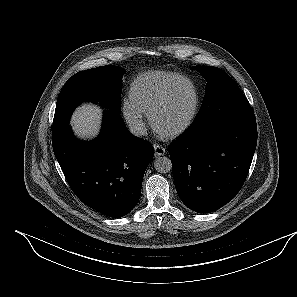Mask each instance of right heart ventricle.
<instances>
[{"label": "right heart ventricle", "instance_id": "obj_1", "mask_svg": "<svg viewBox=\"0 0 297 297\" xmlns=\"http://www.w3.org/2000/svg\"><path fill=\"white\" fill-rule=\"evenodd\" d=\"M179 74L174 72L150 71L139 75L129 88V99L142 112L148 114L162 96L168 85Z\"/></svg>", "mask_w": 297, "mask_h": 297}]
</instances>
